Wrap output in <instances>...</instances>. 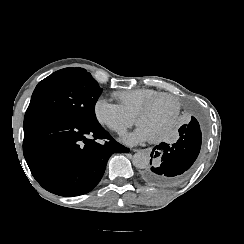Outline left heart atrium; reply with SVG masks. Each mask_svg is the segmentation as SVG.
<instances>
[{"label":"left heart atrium","mask_w":244,"mask_h":244,"mask_svg":"<svg viewBox=\"0 0 244 244\" xmlns=\"http://www.w3.org/2000/svg\"><path fill=\"white\" fill-rule=\"evenodd\" d=\"M158 138L159 136L152 134L146 127L140 126L135 133L130 134L125 138V142L128 144H136L144 140H151V139H158Z\"/></svg>","instance_id":"1"}]
</instances>
